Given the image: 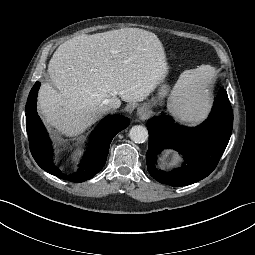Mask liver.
Instances as JSON below:
<instances>
[{
	"mask_svg": "<svg viewBox=\"0 0 255 255\" xmlns=\"http://www.w3.org/2000/svg\"><path fill=\"white\" fill-rule=\"evenodd\" d=\"M167 72L163 45L150 31L122 28L79 35L53 54L38 109L58 133L75 137L110 112L109 98L143 101Z\"/></svg>",
	"mask_w": 255,
	"mask_h": 255,
	"instance_id": "obj_1",
	"label": "liver"
}]
</instances>
